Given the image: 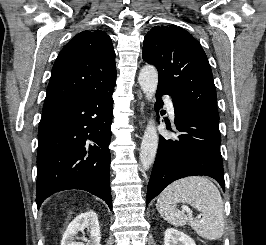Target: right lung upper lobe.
<instances>
[{"instance_id": "1", "label": "right lung upper lobe", "mask_w": 266, "mask_h": 245, "mask_svg": "<svg viewBox=\"0 0 266 245\" xmlns=\"http://www.w3.org/2000/svg\"><path fill=\"white\" fill-rule=\"evenodd\" d=\"M115 81L111 38L101 30L82 31L64 46L53 65L43 114L82 95L110 91Z\"/></svg>"}]
</instances>
